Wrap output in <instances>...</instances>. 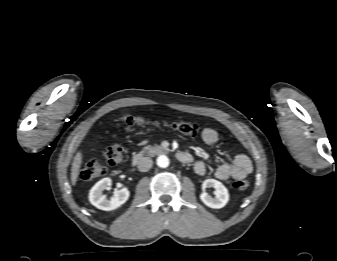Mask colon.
Here are the masks:
<instances>
[{"label":"colon","instance_id":"obj_1","mask_svg":"<svg viewBox=\"0 0 337 261\" xmlns=\"http://www.w3.org/2000/svg\"><path fill=\"white\" fill-rule=\"evenodd\" d=\"M120 123L125 126H156L164 127L176 131L184 136L196 137L202 135V131L197 124L186 122V121H176V122H166V121H151L139 116L133 115H123L119 119ZM104 156L106 161L115 165L120 163L124 157V148L121 144L112 142L106 145L104 149ZM106 174V168L94 159H89L83 163L81 168V178L83 180H93L102 177ZM248 181L245 179H236L232 182L231 186L239 191L246 190L248 188Z\"/></svg>","mask_w":337,"mask_h":261}]
</instances>
